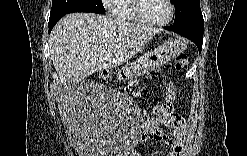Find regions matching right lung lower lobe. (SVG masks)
Masks as SVG:
<instances>
[{
	"instance_id": "right-lung-lower-lobe-1",
	"label": "right lung lower lobe",
	"mask_w": 247,
	"mask_h": 156,
	"mask_svg": "<svg viewBox=\"0 0 247 156\" xmlns=\"http://www.w3.org/2000/svg\"><path fill=\"white\" fill-rule=\"evenodd\" d=\"M61 17L56 19H49V33L52 30V28L55 26V24L60 20Z\"/></svg>"
}]
</instances>
